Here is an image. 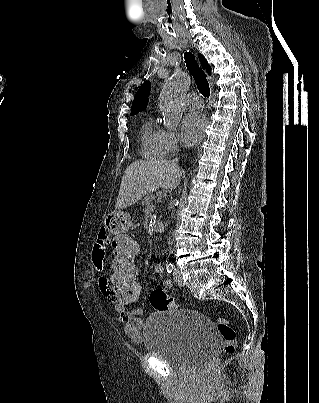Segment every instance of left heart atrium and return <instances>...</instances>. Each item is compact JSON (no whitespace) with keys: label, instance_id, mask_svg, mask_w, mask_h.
<instances>
[{"label":"left heart atrium","instance_id":"obj_1","mask_svg":"<svg viewBox=\"0 0 319 403\" xmlns=\"http://www.w3.org/2000/svg\"><path fill=\"white\" fill-rule=\"evenodd\" d=\"M207 121L204 115L200 113L187 114L181 124V135L183 141L188 146H194L203 137Z\"/></svg>","mask_w":319,"mask_h":403}]
</instances>
